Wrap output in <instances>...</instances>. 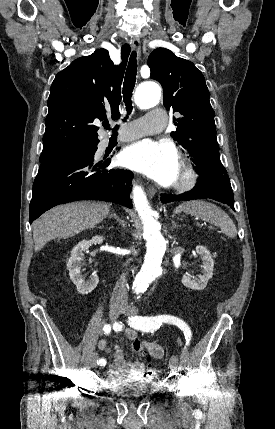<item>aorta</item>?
Here are the masks:
<instances>
[{"label": "aorta", "instance_id": "aorta-1", "mask_svg": "<svg viewBox=\"0 0 275 429\" xmlns=\"http://www.w3.org/2000/svg\"><path fill=\"white\" fill-rule=\"evenodd\" d=\"M160 96L159 86L147 82L137 88L135 102L141 109H148L158 104ZM133 202L143 223V238L147 247L144 264L134 281L136 291L143 292L162 273L161 263L167 242L160 232L159 223L153 218V211L141 186L133 188Z\"/></svg>", "mask_w": 275, "mask_h": 429}]
</instances>
